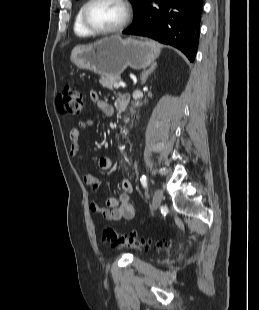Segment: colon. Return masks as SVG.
Instances as JSON below:
<instances>
[{
  "label": "colon",
  "instance_id": "5ec220e1",
  "mask_svg": "<svg viewBox=\"0 0 259 310\" xmlns=\"http://www.w3.org/2000/svg\"><path fill=\"white\" fill-rule=\"evenodd\" d=\"M56 104L59 111L64 115L79 116L84 110V96L82 89L74 84H67L57 95ZM105 242L116 248H133L147 250L150 242L136 234H122L112 228H105L102 233ZM159 246H166L167 243L159 242Z\"/></svg>",
  "mask_w": 259,
  "mask_h": 310
}]
</instances>
